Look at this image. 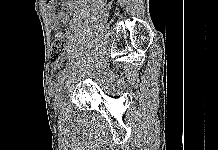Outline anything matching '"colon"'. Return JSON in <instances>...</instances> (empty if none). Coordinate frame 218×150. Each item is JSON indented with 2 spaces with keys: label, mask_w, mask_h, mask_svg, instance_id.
<instances>
[{
  "label": "colon",
  "mask_w": 218,
  "mask_h": 150,
  "mask_svg": "<svg viewBox=\"0 0 218 150\" xmlns=\"http://www.w3.org/2000/svg\"><path fill=\"white\" fill-rule=\"evenodd\" d=\"M66 46V40L63 34L59 33L55 36L51 49V59L53 62L60 60Z\"/></svg>",
  "instance_id": "5ec220e1"
}]
</instances>
